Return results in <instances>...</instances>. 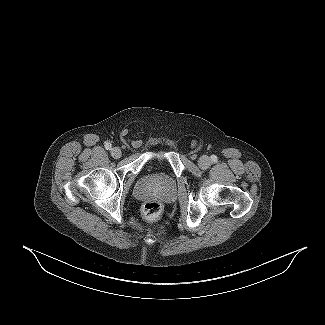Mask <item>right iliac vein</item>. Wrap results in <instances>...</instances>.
Wrapping results in <instances>:
<instances>
[{
	"label": "right iliac vein",
	"mask_w": 325,
	"mask_h": 325,
	"mask_svg": "<svg viewBox=\"0 0 325 325\" xmlns=\"http://www.w3.org/2000/svg\"><path fill=\"white\" fill-rule=\"evenodd\" d=\"M121 154H122V152H121V149L119 147H114V148L111 149V156L113 158H116V159L120 158Z\"/></svg>",
	"instance_id": "1"
}]
</instances>
